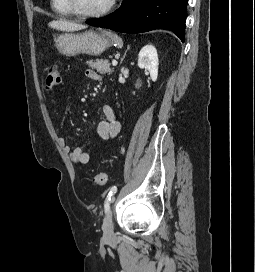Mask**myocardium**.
Returning <instances> with one entry per match:
<instances>
[{
  "mask_svg": "<svg viewBox=\"0 0 255 272\" xmlns=\"http://www.w3.org/2000/svg\"><path fill=\"white\" fill-rule=\"evenodd\" d=\"M64 1H65L66 7L71 12V14L82 19L104 17L112 11L116 2V0H109L108 4L102 10L97 12H82L76 7L74 0H64Z\"/></svg>",
  "mask_w": 255,
  "mask_h": 272,
  "instance_id": "1",
  "label": "myocardium"
}]
</instances>
